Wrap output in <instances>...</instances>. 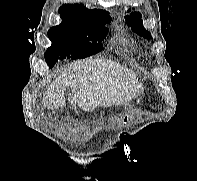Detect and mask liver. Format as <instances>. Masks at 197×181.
<instances>
[{
  "label": "liver",
  "instance_id": "obj_1",
  "mask_svg": "<svg viewBox=\"0 0 197 181\" xmlns=\"http://www.w3.org/2000/svg\"><path fill=\"white\" fill-rule=\"evenodd\" d=\"M67 87L72 89V101L86 112L99 106L109 107L129 102L143 90L136 74L114 61L80 60L70 64L67 71L53 81L43 98L44 107H63Z\"/></svg>",
  "mask_w": 197,
  "mask_h": 181
}]
</instances>
